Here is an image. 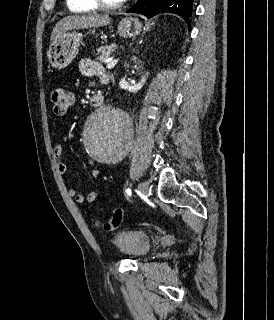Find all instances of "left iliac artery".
Wrapping results in <instances>:
<instances>
[{
  "label": "left iliac artery",
  "mask_w": 274,
  "mask_h": 320,
  "mask_svg": "<svg viewBox=\"0 0 274 320\" xmlns=\"http://www.w3.org/2000/svg\"><path fill=\"white\" fill-rule=\"evenodd\" d=\"M126 193H127V195L131 196V190H130V188H127V189H126Z\"/></svg>",
  "instance_id": "44dca946"
}]
</instances>
